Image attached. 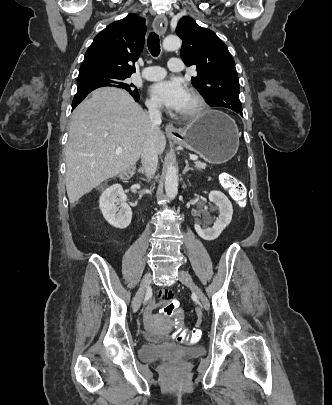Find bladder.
Instances as JSON below:
<instances>
[{"label":"bladder","instance_id":"obj_1","mask_svg":"<svg viewBox=\"0 0 332 405\" xmlns=\"http://www.w3.org/2000/svg\"><path fill=\"white\" fill-rule=\"evenodd\" d=\"M148 344L139 351V357L142 361L153 362L169 360L174 358H194L201 354V348L198 346H183L173 343H162L160 337L156 334L148 333L146 335Z\"/></svg>","mask_w":332,"mask_h":405}]
</instances>
